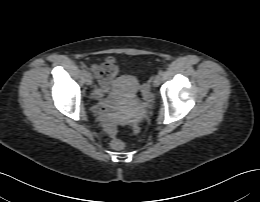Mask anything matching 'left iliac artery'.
Here are the masks:
<instances>
[{
    "label": "left iliac artery",
    "instance_id": "left-iliac-artery-1",
    "mask_svg": "<svg viewBox=\"0 0 260 202\" xmlns=\"http://www.w3.org/2000/svg\"><path fill=\"white\" fill-rule=\"evenodd\" d=\"M159 75H160V76H163V75H164V71H163V70H160V71H159Z\"/></svg>",
    "mask_w": 260,
    "mask_h": 202
}]
</instances>
